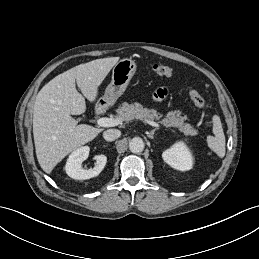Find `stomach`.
Segmentation results:
<instances>
[{"label":"stomach","instance_id":"obj_1","mask_svg":"<svg viewBox=\"0 0 259 259\" xmlns=\"http://www.w3.org/2000/svg\"><path fill=\"white\" fill-rule=\"evenodd\" d=\"M136 72V63L130 58L118 61L113 67L112 80L104 96L98 100L99 105H112L124 93Z\"/></svg>","mask_w":259,"mask_h":259}]
</instances>
